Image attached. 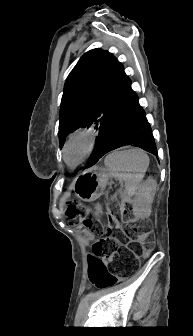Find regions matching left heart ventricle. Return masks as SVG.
<instances>
[{
  "mask_svg": "<svg viewBox=\"0 0 193 336\" xmlns=\"http://www.w3.org/2000/svg\"><path fill=\"white\" fill-rule=\"evenodd\" d=\"M85 149V142L83 140H76L73 142L67 153V158L71 163L78 161Z\"/></svg>",
  "mask_w": 193,
  "mask_h": 336,
  "instance_id": "1",
  "label": "left heart ventricle"
}]
</instances>
